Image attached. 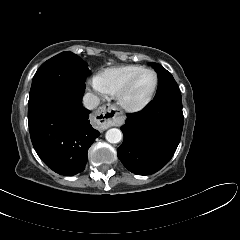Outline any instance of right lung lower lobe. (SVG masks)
<instances>
[{"label":"right lung lower lobe","mask_w":240,"mask_h":240,"mask_svg":"<svg viewBox=\"0 0 240 240\" xmlns=\"http://www.w3.org/2000/svg\"><path fill=\"white\" fill-rule=\"evenodd\" d=\"M85 89L55 87L38 96L28 107L32 144L41 160L61 175L84 170L90 145L100 135L89 123L83 107Z\"/></svg>","instance_id":"obj_1"}]
</instances>
